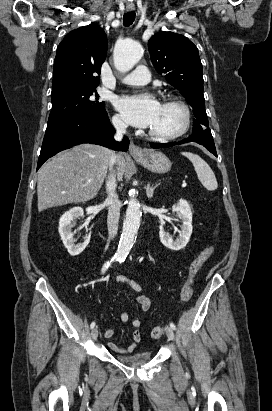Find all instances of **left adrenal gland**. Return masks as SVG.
Returning a JSON list of instances; mask_svg holds the SVG:
<instances>
[{
  "label": "left adrenal gland",
  "instance_id": "a2214340",
  "mask_svg": "<svg viewBox=\"0 0 272 411\" xmlns=\"http://www.w3.org/2000/svg\"><path fill=\"white\" fill-rule=\"evenodd\" d=\"M159 184H155L154 186H150V183L146 186V195L148 198H152L154 190L158 187Z\"/></svg>",
  "mask_w": 272,
  "mask_h": 411
}]
</instances>
